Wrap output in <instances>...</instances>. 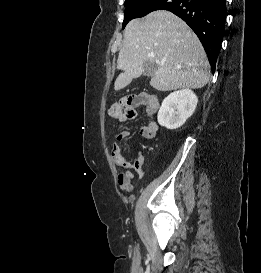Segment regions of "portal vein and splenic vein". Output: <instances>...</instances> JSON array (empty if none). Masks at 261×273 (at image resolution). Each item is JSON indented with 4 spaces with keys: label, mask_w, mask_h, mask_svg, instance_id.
<instances>
[{
    "label": "portal vein and splenic vein",
    "mask_w": 261,
    "mask_h": 273,
    "mask_svg": "<svg viewBox=\"0 0 261 273\" xmlns=\"http://www.w3.org/2000/svg\"><path fill=\"white\" fill-rule=\"evenodd\" d=\"M158 64L163 65V64H164V62H159Z\"/></svg>",
    "instance_id": "1"
}]
</instances>
